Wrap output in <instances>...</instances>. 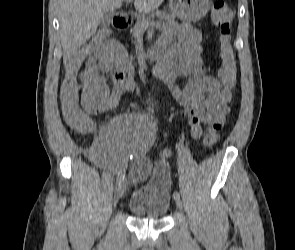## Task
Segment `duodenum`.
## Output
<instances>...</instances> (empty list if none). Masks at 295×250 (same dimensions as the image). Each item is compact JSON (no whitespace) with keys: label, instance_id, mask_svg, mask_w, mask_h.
Returning a JSON list of instances; mask_svg holds the SVG:
<instances>
[{"label":"duodenum","instance_id":"410a0bca","mask_svg":"<svg viewBox=\"0 0 295 250\" xmlns=\"http://www.w3.org/2000/svg\"><path fill=\"white\" fill-rule=\"evenodd\" d=\"M131 19H132V16L129 12H120L114 16L113 26L116 30L124 31L129 27ZM159 50H160L159 47L151 48L149 53L144 56V60L149 62L152 60L160 59L161 53ZM133 70L134 68L132 64L126 58H124L119 71L124 76L131 77L133 74Z\"/></svg>","mask_w":295,"mask_h":250}]
</instances>
